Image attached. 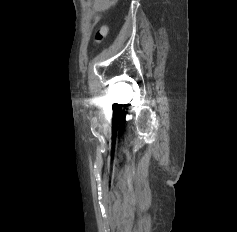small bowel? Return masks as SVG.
<instances>
[{
  "instance_id": "c3829d8e",
  "label": "small bowel",
  "mask_w": 237,
  "mask_h": 232,
  "mask_svg": "<svg viewBox=\"0 0 237 232\" xmlns=\"http://www.w3.org/2000/svg\"><path fill=\"white\" fill-rule=\"evenodd\" d=\"M117 0H94V9L103 12L111 8Z\"/></svg>"
}]
</instances>
